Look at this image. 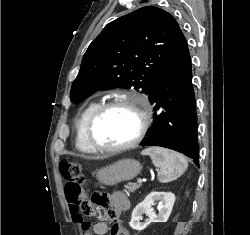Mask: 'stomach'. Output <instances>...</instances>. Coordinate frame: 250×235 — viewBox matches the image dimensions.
<instances>
[{
	"instance_id": "obj_1",
	"label": "stomach",
	"mask_w": 250,
	"mask_h": 235,
	"mask_svg": "<svg viewBox=\"0 0 250 235\" xmlns=\"http://www.w3.org/2000/svg\"><path fill=\"white\" fill-rule=\"evenodd\" d=\"M141 168V164L135 159H122L98 170L96 178L101 184L114 186L132 180L140 173Z\"/></svg>"
}]
</instances>
